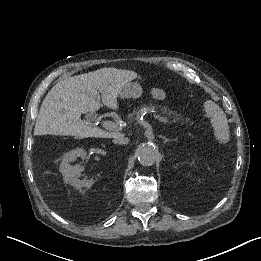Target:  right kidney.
Masks as SVG:
<instances>
[{"mask_svg": "<svg viewBox=\"0 0 261 261\" xmlns=\"http://www.w3.org/2000/svg\"><path fill=\"white\" fill-rule=\"evenodd\" d=\"M77 157L85 158L86 152L83 149H77L75 151L64 154L59 170L63 175L64 181L74 186L76 189L90 188L93 185L94 180L78 179V167L70 165V162L74 161V159Z\"/></svg>", "mask_w": 261, "mask_h": 261, "instance_id": "1", "label": "right kidney"}]
</instances>
